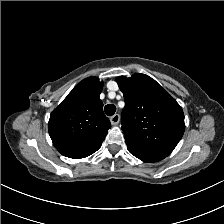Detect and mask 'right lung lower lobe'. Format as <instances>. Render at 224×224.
Returning a JSON list of instances; mask_svg holds the SVG:
<instances>
[{
	"mask_svg": "<svg viewBox=\"0 0 224 224\" xmlns=\"http://www.w3.org/2000/svg\"><path fill=\"white\" fill-rule=\"evenodd\" d=\"M54 146L64 156L70 158H84L89 155H85L80 151V148L72 141L66 139L53 140Z\"/></svg>",
	"mask_w": 224,
	"mask_h": 224,
	"instance_id": "98d812e1",
	"label": "right lung lower lobe"
}]
</instances>
